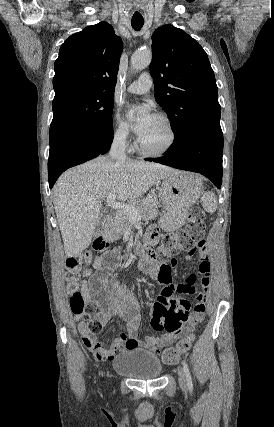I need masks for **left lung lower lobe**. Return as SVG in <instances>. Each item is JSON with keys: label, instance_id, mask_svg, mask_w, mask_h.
<instances>
[{"label": "left lung lower lobe", "instance_id": "obj_1", "mask_svg": "<svg viewBox=\"0 0 274 427\" xmlns=\"http://www.w3.org/2000/svg\"><path fill=\"white\" fill-rule=\"evenodd\" d=\"M223 134L221 127H202L178 147H170L166 155L146 159L174 168L200 173L217 188L222 184Z\"/></svg>", "mask_w": 274, "mask_h": 427}]
</instances>
